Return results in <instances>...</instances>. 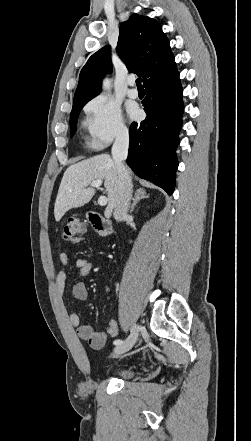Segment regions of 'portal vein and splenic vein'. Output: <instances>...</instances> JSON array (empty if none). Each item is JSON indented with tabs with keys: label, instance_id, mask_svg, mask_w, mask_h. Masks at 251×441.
<instances>
[{
	"label": "portal vein and splenic vein",
	"instance_id": "portal-vein-and-splenic-vein-1",
	"mask_svg": "<svg viewBox=\"0 0 251 441\" xmlns=\"http://www.w3.org/2000/svg\"><path fill=\"white\" fill-rule=\"evenodd\" d=\"M101 184H102L101 180H95V181L91 182L90 186L95 187V188H99L101 186ZM107 202H108V199L106 196H100L98 199V204L100 206H105L107 204Z\"/></svg>",
	"mask_w": 251,
	"mask_h": 441
}]
</instances>
